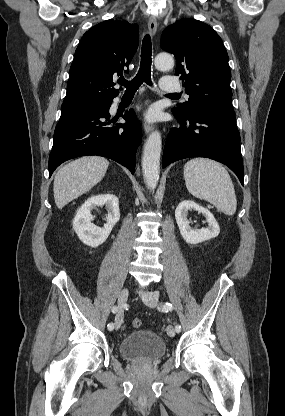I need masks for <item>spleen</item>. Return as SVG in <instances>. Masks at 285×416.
<instances>
[{
    "label": "spleen",
    "instance_id": "obj_1",
    "mask_svg": "<svg viewBox=\"0 0 285 416\" xmlns=\"http://www.w3.org/2000/svg\"><path fill=\"white\" fill-rule=\"evenodd\" d=\"M184 180L189 194L210 202L226 216L235 214L237 200L234 186L222 164L208 158H194L184 166Z\"/></svg>",
    "mask_w": 285,
    "mask_h": 416
}]
</instances>
